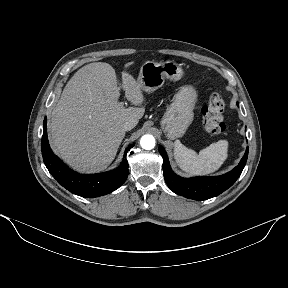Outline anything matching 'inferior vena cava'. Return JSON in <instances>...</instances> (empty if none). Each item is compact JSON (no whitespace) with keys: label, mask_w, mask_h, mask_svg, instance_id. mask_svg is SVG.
I'll list each match as a JSON object with an SVG mask.
<instances>
[{"label":"inferior vena cava","mask_w":288,"mask_h":288,"mask_svg":"<svg viewBox=\"0 0 288 288\" xmlns=\"http://www.w3.org/2000/svg\"><path fill=\"white\" fill-rule=\"evenodd\" d=\"M137 123H138L137 120L130 119L124 123L123 128L125 131H129V130L133 129L137 125Z\"/></svg>","instance_id":"602c4592"}]
</instances>
